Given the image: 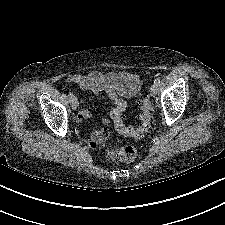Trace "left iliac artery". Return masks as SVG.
I'll return each mask as SVG.
<instances>
[{
	"label": "left iliac artery",
	"instance_id": "44dca946",
	"mask_svg": "<svg viewBox=\"0 0 225 225\" xmlns=\"http://www.w3.org/2000/svg\"><path fill=\"white\" fill-rule=\"evenodd\" d=\"M154 85H155V86L160 85V78H156V79L154 80Z\"/></svg>",
	"mask_w": 225,
	"mask_h": 225
}]
</instances>
